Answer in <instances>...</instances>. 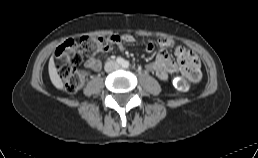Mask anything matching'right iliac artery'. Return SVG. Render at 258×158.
I'll use <instances>...</instances> for the list:
<instances>
[{"instance_id":"82829eb1","label":"right iliac artery","mask_w":258,"mask_h":158,"mask_svg":"<svg viewBox=\"0 0 258 158\" xmlns=\"http://www.w3.org/2000/svg\"><path fill=\"white\" fill-rule=\"evenodd\" d=\"M116 61H117V63L120 64V65H123V63H124V59L121 58V57H118V58L116 59Z\"/></svg>"}]
</instances>
